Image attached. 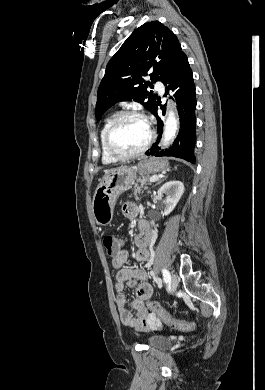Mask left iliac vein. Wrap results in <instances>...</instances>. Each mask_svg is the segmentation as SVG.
<instances>
[{"mask_svg":"<svg viewBox=\"0 0 265 390\" xmlns=\"http://www.w3.org/2000/svg\"><path fill=\"white\" fill-rule=\"evenodd\" d=\"M177 286H178V278H177V276L175 274H172L171 275V279H170L171 290L172 291H176Z\"/></svg>","mask_w":265,"mask_h":390,"instance_id":"left-iliac-vein-1","label":"left iliac vein"}]
</instances>
